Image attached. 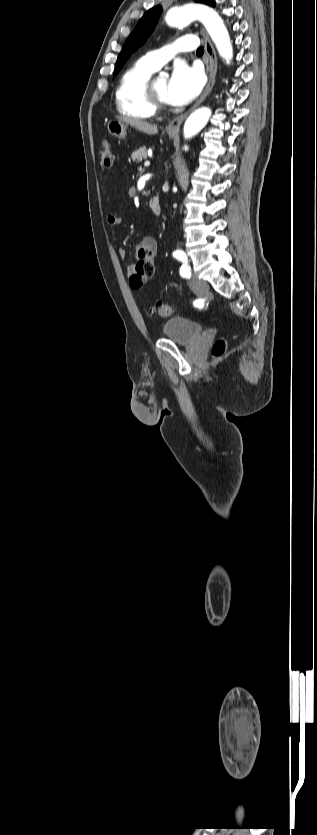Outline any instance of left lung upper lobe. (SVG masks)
I'll use <instances>...</instances> for the list:
<instances>
[{"label": "left lung upper lobe", "instance_id": "left-lung-upper-lobe-1", "mask_svg": "<svg viewBox=\"0 0 317 835\" xmlns=\"http://www.w3.org/2000/svg\"><path fill=\"white\" fill-rule=\"evenodd\" d=\"M197 3L207 4L209 6H215L214 0H194ZM162 8L161 6H155L148 10L142 18L139 20L136 28L127 38L122 51L120 52L115 70L114 76L119 72V70L123 67L126 60L129 56L136 51L139 46H141L147 38L150 36L152 31L154 30L158 19L161 15Z\"/></svg>", "mask_w": 317, "mask_h": 835}]
</instances>
